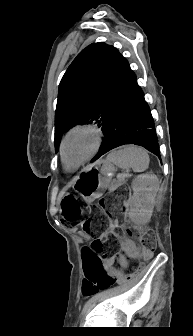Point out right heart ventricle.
Masks as SVG:
<instances>
[{
	"label": "right heart ventricle",
	"instance_id": "obj_1",
	"mask_svg": "<svg viewBox=\"0 0 193 336\" xmlns=\"http://www.w3.org/2000/svg\"><path fill=\"white\" fill-rule=\"evenodd\" d=\"M65 169L68 170V171H73V170H70V169H68V168H66V167H65Z\"/></svg>",
	"mask_w": 193,
	"mask_h": 336
}]
</instances>
